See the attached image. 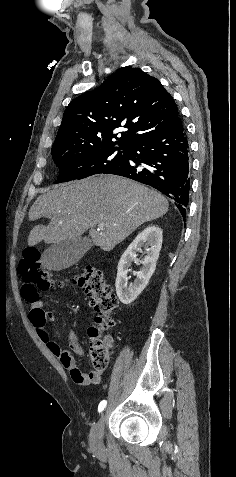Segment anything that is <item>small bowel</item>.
<instances>
[{"instance_id":"1","label":"small bowel","mask_w":236,"mask_h":477,"mask_svg":"<svg viewBox=\"0 0 236 477\" xmlns=\"http://www.w3.org/2000/svg\"><path fill=\"white\" fill-rule=\"evenodd\" d=\"M29 320L32 323L36 333L40 339L46 344L53 355L58 357L70 373L72 380L76 384L89 385L99 384L102 381V374L96 371L84 373L77 367L74 355L70 350L64 349L54 339L53 334L49 328V323L55 320V313L46 311L44 304L41 301H34L30 304ZM72 349L80 357L84 356V350L78 343V331L71 333ZM107 348H112L113 341L110 337L105 339Z\"/></svg>"}]
</instances>
